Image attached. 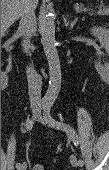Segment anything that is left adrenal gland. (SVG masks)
<instances>
[{"instance_id": "obj_1", "label": "left adrenal gland", "mask_w": 109, "mask_h": 170, "mask_svg": "<svg viewBox=\"0 0 109 170\" xmlns=\"http://www.w3.org/2000/svg\"><path fill=\"white\" fill-rule=\"evenodd\" d=\"M63 20H64L65 26L69 27L70 29H72L77 22V18H75L73 21H71L70 24L66 17H63Z\"/></svg>"}]
</instances>
